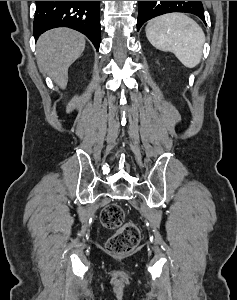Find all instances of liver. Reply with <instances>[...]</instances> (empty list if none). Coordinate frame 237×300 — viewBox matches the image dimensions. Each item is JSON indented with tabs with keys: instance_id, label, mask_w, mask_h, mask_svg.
<instances>
[{
	"instance_id": "obj_1",
	"label": "liver",
	"mask_w": 237,
	"mask_h": 300,
	"mask_svg": "<svg viewBox=\"0 0 237 300\" xmlns=\"http://www.w3.org/2000/svg\"><path fill=\"white\" fill-rule=\"evenodd\" d=\"M84 49L85 37L81 33L72 29H52L37 41V65L60 89H66L68 69Z\"/></svg>"
}]
</instances>
